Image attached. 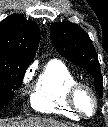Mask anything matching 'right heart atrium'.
<instances>
[{"label": "right heart atrium", "mask_w": 108, "mask_h": 127, "mask_svg": "<svg viewBox=\"0 0 108 127\" xmlns=\"http://www.w3.org/2000/svg\"><path fill=\"white\" fill-rule=\"evenodd\" d=\"M31 77V70H27L23 77V82L26 83Z\"/></svg>", "instance_id": "d8ad5b80"}]
</instances>
